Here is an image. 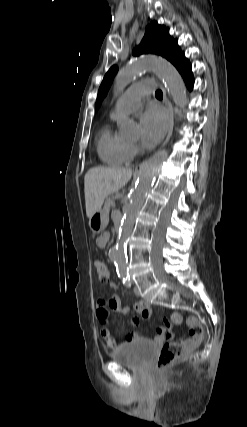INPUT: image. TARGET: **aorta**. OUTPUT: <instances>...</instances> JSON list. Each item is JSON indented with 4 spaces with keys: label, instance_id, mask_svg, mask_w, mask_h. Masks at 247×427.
Returning <instances> with one entry per match:
<instances>
[{
    "label": "aorta",
    "instance_id": "762f6f07",
    "mask_svg": "<svg viewBox=\"0 0 247 427\" xmlns=\"http://www.w3.org/2000/svg\"><path fill=\"white\" fill-rule=\"evenodd\" d=\"M152 70L163 80L168 92L172 95L176 105L184 108L187 103V94L183 80L178 71L166 61L153 56H143L132 60L125 68L121 69L114 80V92L120 94L124 89L142 73ZM120 132L130 136L136 133L137 127L134 121L125 116L118 119ZM167 159V151L163 150L146 163L133 189L129 205L124 213L119 228L116 245L110 249L109 257L114 261L119 273L124 274L127 270L126 245L131 235L135 219L144 204L155 177L160 172L162 164Z\"/></svg>",
    "mask_w": 247,
    "mask_h": 427
}]
</instances>
